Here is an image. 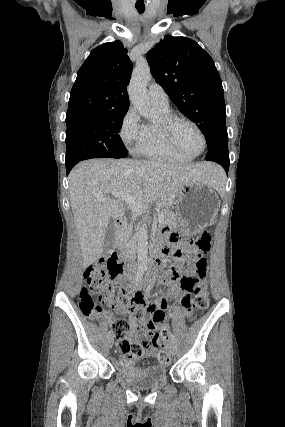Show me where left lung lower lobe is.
<instances>
[{
    "mask_svg": "<svg viewBox=\"0 0 285 427\" xmlns=\"http://www.w3.org/2000/svg\"><path fill=\"white\" fill-rule=\"evenodd\" d=\"M206 160L220 164L228 173L229 154H228V137L215 139L208 148Z\"/></svg>",
    "mask_w": 285,
    "mask_h": 427,
    "instance_id": "1",
    "label": "left lung lower lobe"
}]
</instances>
